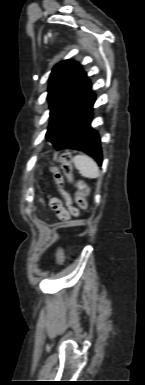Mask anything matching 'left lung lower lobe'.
I'll return each instance as SVG.
<instances>
[{
	"mask_svg": "<svg viewBox=\"0 0 145 385\" xmlns=\"http://www.w3.org/2000/svg\"><path fill=\"white\" fill-rule=\"evenodd\" d=\"M94 101L95 96L90 86L78 104L63 119L50 142L58 150H82L101 166L102 153L98 133L90 127Z\"/></svg>",
	"mask_w": 145,
	"mask_h": 385,
	"instance_id": "1",
	"label": "left lung lower lobe"
}]
</instances>
